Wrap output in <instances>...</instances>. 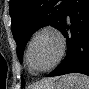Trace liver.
<instances>
[{"label": "liver", "instance_id": "liver-1", "mask_svg": "<svg viewBox=\"0 0 89 89\" xmlns=\"http://www.w3.org/2000/svg\"><path fill=\"white\" fill-rule=\"evenodd\" d=\"M55 81H56V78L46 79V80L42 81L39 86H37V87H39L37 89H46L47 87H49L50 85L55 83Z\"/></svg>", "mask_w": 89, "mask_h": 89}]
</instances>
